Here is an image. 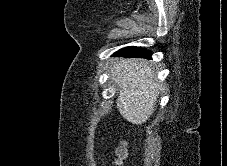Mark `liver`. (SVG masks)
<instances>
[{
    "label": "liver",
    "instance_id": "obj_1",
    "mask_svg": "<svg viewBox=\"0 0 227 166\" xmlns=\"http://www.w3.org/2000/svg\"><path fill=\"white\" fill-rule=\"evenodd\" d=\"M111 78L119 87L121 115L133 124L145 123L155 111L161 90L151 67L140 59H122L111 69Z\"/></svg>",
    "mask_w": 227,
    "mask_h": 166
}]
</instances>
